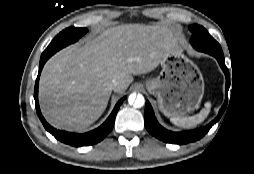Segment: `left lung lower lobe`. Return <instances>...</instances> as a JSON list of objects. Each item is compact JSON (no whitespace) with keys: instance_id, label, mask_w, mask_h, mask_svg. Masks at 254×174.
<instances>
[{"instance_id":"left-lung-lower-lobe-1","label":"left lung lower lobe","mask_w":254,"mask_h":174,"mask_svg":"<svg viewBox=\"0 0 254 174\" xmlns=\"http://www.w3.org/2000/svg\"><path fill=\"white\" fill-rule=\"evenodd\" d=\"M213 56L217 59L219 65L221 66L226 76V100L224 105L220 109L218 116L205 127H201L191 131L172 132L166 130L157 122L150 103L146 101L144 121L146 129L151 135L167 143L179 145L187 144L189 142H194L201 139L210 130V128L220 119L227 104V93L230 86V79H229V71L225 65L224 56L223 55H213Z\"/></svg>"}]
</instances>
